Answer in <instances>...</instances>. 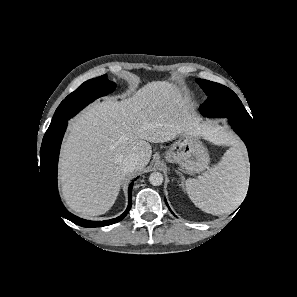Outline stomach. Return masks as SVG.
I'll return each mask as SVG.
<instances>
[{"label": "stomach", "instance_id": "1", "mask_svg": "<svg viewBox=\"0 0 297 297\" xmlns=\"http://www.w3.org/2000/svg\"><path fill=\"white\" fill-rule=\"evenodd\" d=\"M165 159L177 163L188 174L204 171L210 162L208 149L200 137L187 132L165 152Z\"/></svg>", "mask_w": 297, "mask_h": 297}]
</instances>
